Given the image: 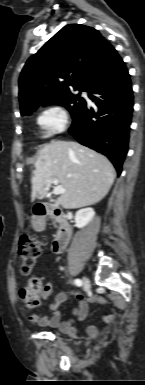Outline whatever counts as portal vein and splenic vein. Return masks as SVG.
Masks as SVG:
<instances>
[{
    "label": "portal vein and splenic vein",
    "mask_w": 145,
    "mask_h": 385,
    "mask_svg": "<svg viewBox=\"0 0 145 385\" xmlns=\"http://www.w3.org/2000/svg\"><path fill=\"white\" fill-rule=\"evenodd\" d=\"M52 183L55 185V188L53 190V193L55 195L62 194L65 192V189L62 187V185H59V181L56 178L52 180Z\"/></svg>",
    "instance_id": "1"
}]
</instances>
